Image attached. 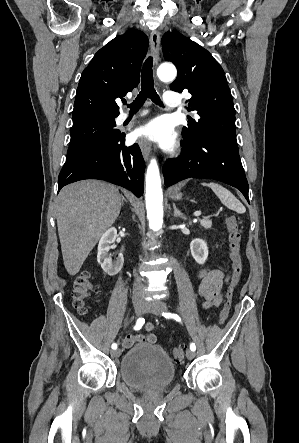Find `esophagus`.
Masks as SVG:
<instances>
[{
	"instance_id": "34e87169",
	"label": "esophagus",
	"mask_w": 299,
	"mask_h": 443,
	"mask_svg": "<svg viewBox=\"0 0 299 443\" xmlns=\"http://www.w3.org/2000/svg\"><path fill=\"white\" fill-rule=\"evenodd\" d=\"M150 49H151V53L154 58V62L157 63L158 59H159V51H160V35H159L158 31H153L151 33ZM139 146H140V149H141L144 159L148 160L150 152H151L150 143L145 139H141L139 141Z\"/></svg>"
}]
</instances>
